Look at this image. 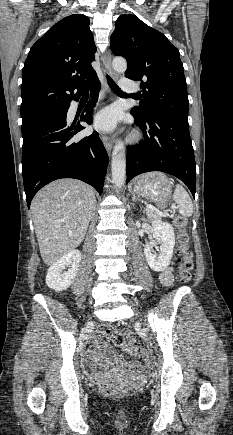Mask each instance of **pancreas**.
Returning <instances> with one entry per match:
<instances>
[{
	"mask_svg": "<svg viewBox=\"0 0 233 435\" xmlns=\"http://www.w3.org/2000/svg\"><path fill=\"white\" fill-rule=\"evenodd\" d=\"M146 214L150 217V218H154V219H160V215L151 209H146Z\"/></svg>",
	"mask_w": 233,
	"mask_h": 435,
	"instance_id": "pancreas-1",
	"label": "pancreas"
}]
</instances>
